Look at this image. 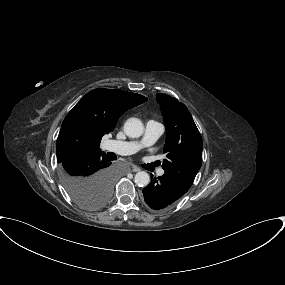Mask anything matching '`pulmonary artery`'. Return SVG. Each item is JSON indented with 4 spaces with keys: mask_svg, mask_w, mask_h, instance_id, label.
Returning <instances> with one entry per match:
<instances>
[{
    "mask_svg": "<svg viewBox=\"0 0 285 285\" xmlns=\"http://www.w3.org/2000/svg\"><path fill=\"white\" fill-rule=\"evenodd\" d=\"M163 131L164 127L160 122L149 120L146 123L145 134L141 141L108 140L104 143V148L119 155H131L141 147L155 142L162 135ZM158 174L163 175L164 170L160 169Z\"/></svg>",
    "mask_w": 285,
    "mask_h": 285,
    "instance_id": "pulmonary-artery-1",
    "label": "pulmonary artery"
}]
</instances>
